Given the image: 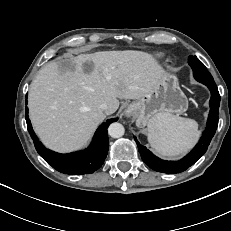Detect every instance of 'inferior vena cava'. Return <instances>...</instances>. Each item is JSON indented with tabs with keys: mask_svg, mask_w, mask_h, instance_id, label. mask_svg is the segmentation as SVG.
<instances>
[{
	"mask_svg": "<svg viewBox=\"0 0 231 231\" xmlns=\"http://www.w3.org/2000/svg\"><path fill=\"white\" fill-rule=\"evenodd\" d=\"M99 109H100L102 112L106 113L107 115H109V114L112 113V112L110 111L109 106H108L107 103H102V104L99 106Z\"/></svg>",
	"mask_w": 231,
	"mask_h": 231,
	"instance_id": "obj_1",
	"label": "inferior vena cava"
}]
</instances>
